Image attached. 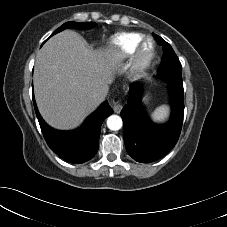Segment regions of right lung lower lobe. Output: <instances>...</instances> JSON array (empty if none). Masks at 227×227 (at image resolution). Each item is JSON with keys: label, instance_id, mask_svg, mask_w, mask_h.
Listing matches in <instances>:
<instances>
[{"label": "right lung lower lobe", "instance_id": "obj_1", "mask_svg": "<svg viewBox=\"0 0 227 227\" xmlns=\"http://www.w3.org/2000/svg\"><path fill=\"white\" fill-rule=\"evenodd\" d=\"M33 102L42 134L52 151L75 164L84 163L95 156L98 151L101 125L113 113L108 101L92 113L81 128L73 131H60L48 126L39 114L34 99Z\"/></svg>", "mask_w": 227, "mask_h": 227}]
</instances>
